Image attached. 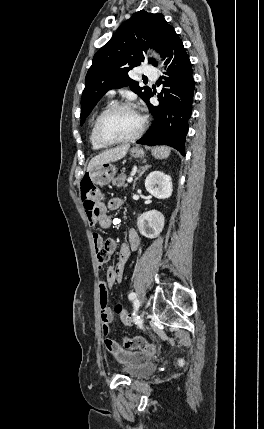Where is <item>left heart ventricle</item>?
<instances>
[{
  "label": "left heart ventricle",
  "mask_w": 264,
  "mask_h": 429,
  "mask_svg": "<svg viewBox=\"0 0 264 429\" xmlns=\"http://www.w3.org/2000/svg\"><path fill=\"white\" fill-rule=\"evenodd\" d=\"M140 125L139 114L130 108L110 114L101 125V135L106 140H118L131 136Z\"/></svg>",
  "instance_id": "left-heart-ventricle-1"
}]
</instances>
